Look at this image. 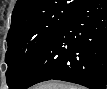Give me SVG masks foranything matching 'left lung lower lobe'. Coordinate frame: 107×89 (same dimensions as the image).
Returning <instances> with one entry per match:
<instances>
[{
    "label": "left lung lower lobe",
    "instance_id": "1",
    "mask_svg": "<svg viewBox=\"0 0 107 89\" xmlns=\"http://www.w3.org/2000/svg\"><path fill=\"white\" fill-rule=\"evenodd\" d=\"M107 86V0H85L56 31L13 89L47 80Z\"/></svg>",
    "mask_w": 107,
    "mask_h": 89
}]
</instances>
